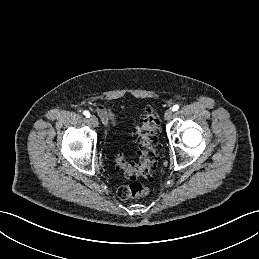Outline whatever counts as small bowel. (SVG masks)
<instances>
[{
  "instance_id": "c3829d8e",
  "label": "small bowel",
  "mask_w": 259,
  "mask_h": 259,
  "mask_svg": "<svg viewBox=\"0 0 259 259\" xmlns=\"http://www.w3.org/2000/svg\"><path fill=\"white\" fill-rule=\"evenodd\" d=\"M97 113L105 125L114 124L116 121L113 111L105 106L99 105L97 107Z\"/></svg>"
}]
</instances>
